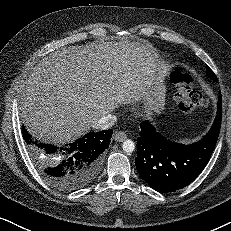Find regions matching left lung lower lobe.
<instances>
[{
    "label": "left lung lower lobe",
    "mask_w": 231,
    "mask_h": 231,
    "mask_svg": "<svg viewBox=\"0 0 231 231\" xmlns=\"http://www.w3.org/2000/svg\"><path fill=\"white\" fill-rule=\"evenodd\" d=\"M222 117V98L218 96L217 115L209 132L198 142L175 143L149 122L140 124L135 166L140 177L160 193L173 192L193 182L202 172L215 148Z\"/></svg>",
    "instance_id": "0a47b994"
}]
</instances>
